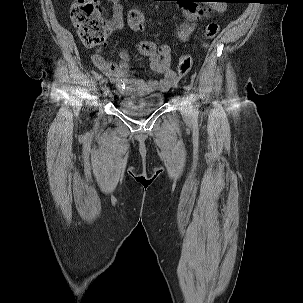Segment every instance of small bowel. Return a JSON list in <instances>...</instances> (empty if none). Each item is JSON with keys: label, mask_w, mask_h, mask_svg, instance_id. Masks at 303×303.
I'll use <instances>...</instances> for the list:
<instances>
[{"label": "small bowel", "mask_w": 303, "mask_h": 303, "mask_svg": "<svg viewBox=\"0 0 303 303\" xmlns=\"http://www.w3.org/2000/svg\"><path fill=\"white\" fill-rule=\"evenodd\" d=\"M112 4V17L109 22L110 30L120 29L124 24V6L121 0H107ZM181 4L186 22L178 30L179 38L186 40L200 19H207L215 14L222 13L226 6L222 0H210L206 8L200 7L196 2L184 0ZM128 24L134 32L145 29V17L139 3L133 4L128 11ZM139 52L149 59L152 72L161 76L159 80L136 77L131 66L130 54L121 49L119 63H114L101 54L93 56L94 65L101 70L109 80L117 86L122 94L135 91L147 94L154 91H167L175 83L177 75L170 67V49L166 45H158L151 40H143L138 46Z\"/></svg>", "instance_id": "obj_1"}]
</instances>
